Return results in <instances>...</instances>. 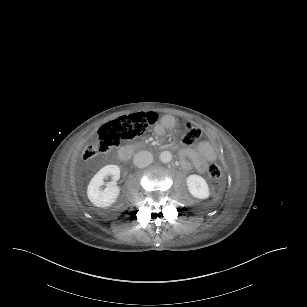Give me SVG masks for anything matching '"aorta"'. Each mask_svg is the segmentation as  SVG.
I'll return each instance as SVG.
<instances>
[{
  "label": "aorta",
  "instance_id": "obj_1",
  "mask_svg": "<svg viewBox=\"0 0 307 307\" xmlns=\"http://www.w3.org/2000/svg\"><path fill=\"white\" fill-rule=\"evenodd\" d=\"M172 153L170 151H162L159 155V159L162 163H169L172 161Z\"/></svg>",
  "mask_w": 307,
  "mask_h": 307
}]
</instances>
